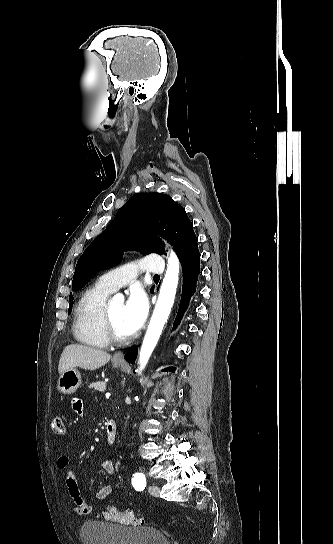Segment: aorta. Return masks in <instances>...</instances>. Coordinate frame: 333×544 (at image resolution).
I'll return each mask as SVG.
<instances>
[{
    "instance_id": "1",
    "label": "aorta",
    "mask_w": 333,
    "mask_h": 544,
    "mask_svg": "<svg viewBox=\"0 0 333 544\" xmlns=\"http://www.w3.org/2000/svg\"><path fill=\"white\" fill-rule=\"evenodd\" d=\"M178 279H179V261L176 255L173 252H171L168 258L167 270L163 278L158 300L155 305V309L151 317V320L149 322L144 340L142 342V346H141V350L139 354V363H140L139 372H141L145 368L162 334L164 324L166 323L169 317L171 308L174 303L176 289L178 285ZM114 299L117 301L123 300V296L121 294H117L114 297Z\"/></svg>"
}]
</instances>
